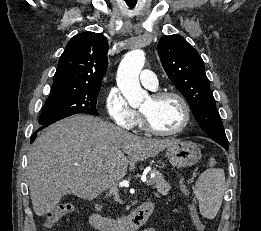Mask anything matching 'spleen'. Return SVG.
Here are the masks:
<instances>
[{
	"mask_svg": "<svg viewBox=\"0 0 261 231\" xmlns=\"http://www.w3.org/2000/svg\"><path fill=\"white\" fill-rule=\"evenodd\" d=\"M215 164V159L211 157L209 168L199 176L194 189L200 213L207 219L217 215L225 192L224 170L213 168Z\"/></svg>",
	"mask_w": 261,
	"mask_h": 231,
	"instance_id": "1",
	"label": "spleen"
}]
</instances>
